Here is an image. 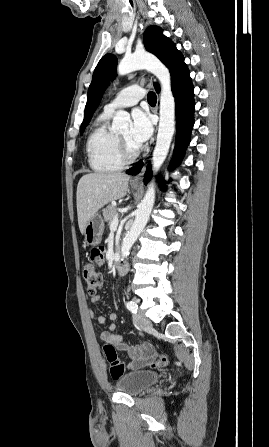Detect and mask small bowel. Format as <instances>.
Wrapping results in <instances>:
<instances>
[{"label":"small bowel","instance_id":"1","mask_svg":"<svg viewBox=\"0 0 269 447\" xmlns=\"http://www.w3.org/2000/svg\"><path fill=\"white\" fill-rule=\"evenodd\" d=\"M100 297L99 296H93L91 298L92 303L99 302ZM96 313L95 311H90V316L95 317ZM117 319V315L115 313H110L107 317L100 315L97 318V321L100 325H105L108 323V320L115 321ZM116 326L114 324H110L108 329H103L100 331L99 337L104 342H109L115 345L117 348H119L122 351H125L128 353L129 347H135V346H128L124 341L122 336L115 334ZM148 347H154L151 343H146ZM155 348V347H154ZM157 352L155 349V355L154 356H130V363L129 367L131 369H139L138 364L143 363L144 361H149L150 357H157Z\"/></svg>","mask_w":269,"mask_h":447}]
</instances>
